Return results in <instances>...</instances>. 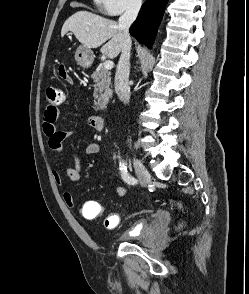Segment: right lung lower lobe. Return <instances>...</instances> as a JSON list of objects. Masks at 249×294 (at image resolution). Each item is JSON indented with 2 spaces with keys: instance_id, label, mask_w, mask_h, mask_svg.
Masks as SVG:
<instances>
[{
  "instance_id": "98d812e1",
  "label": "right lung lower lobe",
  "mask_w": 249,
  "mask_h": 294,
  "mask_svg": "<svg viewBox=\"0 0 249 294\" xmlns=\"http://www.w3.org/2000/svg\"><path fill=\"white\" fill-rule=\"evenodd\" d=\"M168 0H147L130 27V34L151 48Z\"/></svg>"
}]
</instances>
